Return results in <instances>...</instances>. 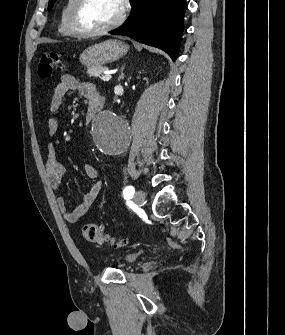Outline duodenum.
Listing matches in <instances>:
<instances>
[{
	"instance_id": "410a0bca",
	"label": "duodenum",
	"mask_w": 285,
	"mask_h": 335,
	"mask_svg": "<svg viewBox=\"0 0 285 335\" xmlns=\"http://www.w3.org/2000/svg\"><path fill=\"white\" fill-rule=\"evenodd\" d=\"M102 105H103L102 99H98V100H94L90 102L89 107L86 112V117H85L87 123L90 122L97 115Z\"/></svg>"
}]
</instances>
